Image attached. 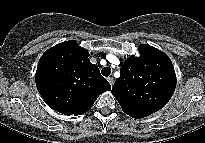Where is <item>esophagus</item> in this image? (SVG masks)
I'll list each match as a JSON object with an SVG mask.
<instances>
[{"label":"esophagus","instance_id":"obj_1","mask_svg":"<svg viewBox=\"0 0 205 143\" xmlns=\"http://www.w3.org/2000/svg\"><path fill=\"white\" fill-rule=\"evenodd\" d=\"M107 81L110 83L111 86L114 84L113 77H107Z\"/></svg>","mask_w":205,"mask_h":143}]
</instances>
